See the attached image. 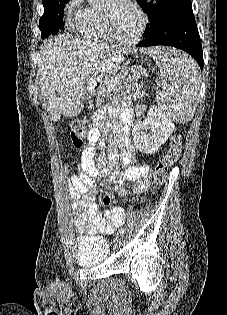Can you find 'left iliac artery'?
<instances>
[{"mask_svg":"<svg viewBox=\"0 0 227 315\" xmlns=\"http://www.w3.org/2000/svg\"><path fill=\"white\" fill-rule=\"evenodd\" d=\"M123 233H124V229L121 228V229H119V231L117 232V236H122Z\"/></svg>","mask_w":227,"mask_h":315,"instance_id":"44dca946","label":"left iliac artery"}]
</instances>
